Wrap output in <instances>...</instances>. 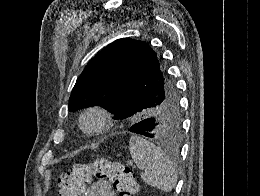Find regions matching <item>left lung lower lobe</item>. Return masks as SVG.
<instances>
[{
	"instance_id": "obj_1",
	"label": "left lung lower lobe",
	"mask_w": 260,
	"mask_h": 196,
	"mask_svg": "<svg viewBox=\"0 0 260 196\" xmlns=\"http://www.w3.org/2000/svg\"><path fill=\"white\" fill-rule=\"evenodd\" d=\"M113 113L115 114V119H128L133 115L134 110H116ZM154 129L155 122L152 119H145L130 126L129 131L152 138Z\"/></svg>"
}]
</instances>
